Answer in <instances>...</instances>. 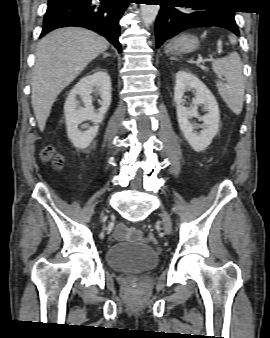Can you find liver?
<instances>
[{
	"label": "liver",
	"instance_id": "obj_1",
	"mask_svg": "<svg viewBox=\"0 0 270 338\" xmlns=\"http://www.w3.org/2000/svg\"><path fill=\"white\" fill-rule=\"evenodd\" d=\"M108 47L104 37L78 27L56 29L40 40L31 82V103L40 131L60 92Z\"/></svg>",
	"mask_w": 270,
	"mask_h": 338
}]
</instances>
